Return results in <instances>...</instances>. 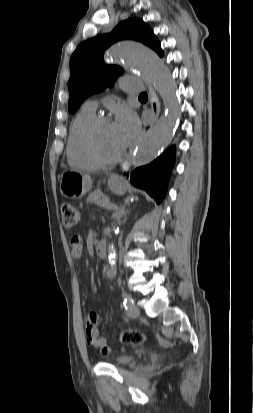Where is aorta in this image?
Returning a JSON list of instances; mask_svg holds the SVG:
<instances>
[{
	"label": "aorta",
	"instance_id": "obj_1",
	"mask_svg": "<svg viewBox=\"0 0 253 413\" xmlns=\"http://www.w3.org/2000/svg\"><path fill=\"white\" fill-rule=\"evenodd\" d=\"M112 60H122L129 69L140 72L150 81L161 95L165 112L156 124L137 142L131 164L143 166L153 161L160 150L166 147L174 136L175 127L180 117V101L175 93V83L163 61L150 48L135 41H121L109 50ZM111 262L110 277L116 275L114 246H109Z\"/></svg>",
	"mask_w": 253,
	"mask_h": 413
}]
</instances>
